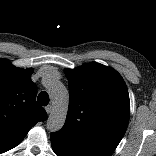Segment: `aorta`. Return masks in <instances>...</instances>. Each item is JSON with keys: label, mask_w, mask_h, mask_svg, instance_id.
Returning <instances> with one entry per match:
<instances>
[{"label": "aorta", "mask_w": 156, "mask_h": 156, "mask_svg": "<svg viewBox=\"0 0 156 156\" xmlns=\"http://www.w3.org/2000/svg\"><path fill=\"white\" fill-rule=\"evenodd\" d=\"M47 88L52 103V111L47 119V129L57 132L63 127L66 120L69 93L60 82H52Z\"/></svg>", "instance_id": "aorta-1"}]
</instances>
